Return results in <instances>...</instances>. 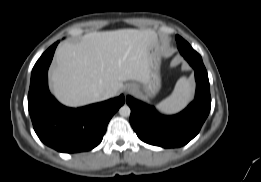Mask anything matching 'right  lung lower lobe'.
<instances>
[{
    "instance_id": "98d812e1",
    "label": "right lung lower lobe",
    "mask_w": 261,
    "mask_h": 182,
    "mask_svg": "<svg viewBox=\"0 0 261 182\" xmlns=\"http://www.w3.org/2000/svg\"><path fill=\"white\" fill-rule=\"evenodd\" d=\"M58 42L49 47L33 67L28 108L34 130L49 147L66 153L88 151L96 147L108 122L124 104L123 95L82 108H67L49 92L47 72Z\"/></svg>"
}]
</instances>
